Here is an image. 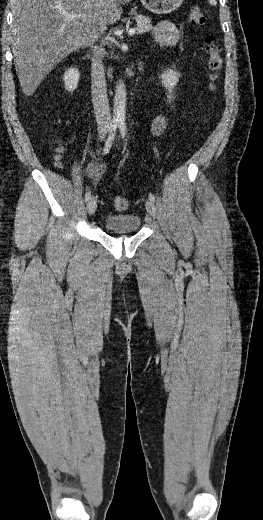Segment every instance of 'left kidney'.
I'll list each match as a JSON object with an SVG mask.
<instances>
[{
    "label": "left kidney",
    "instance_id": "5707ae66",
    "mask_svg": "<svg viewBox=\"0 0 263 520\" xmlns=\"http://www.w3.org/2000/svg\"><path fill=\"white\" fill-rule=\"evenodd\" d=\"M179 74L173 70L165 71L162 75V84L168 89L169 93L172 92V89L174 86H176L177 82L179 81ZM168 98H171V95L168 96Z\"/></svg>",
    "mask_w": 263,
    "mask_h": 520
}]
</instances>
